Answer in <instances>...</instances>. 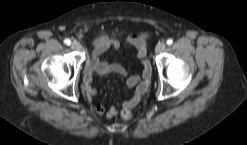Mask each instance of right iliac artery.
<instances>
[{
    "instance_id": "82829eb1",
    "label": "right iliac artery",
    "mask_w": 247,
    "mask_h": 145,
    "mask_svg": "<svg viewBox=\"0 0 247 145\" xmlns=\"http://www.w3.org/2000/svg\"><path fill=\"white\" fill-rule=\"evenodd\" d=\"M64 43H65L66 45H70L71 41H70V39H65V40H64Z\"/></svg>"
}]
</instances>
